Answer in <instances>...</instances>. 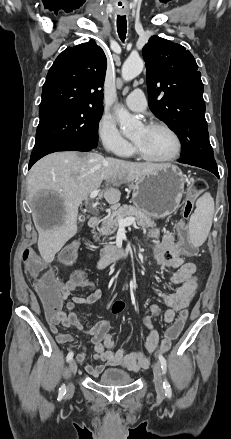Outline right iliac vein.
Wrapping results in <instances>:
<instances>
[{"mask_svg": "<svg viewBox=\"0 0 231 439\" xmlns=\"http://www.w3.org/2000/svg\"><path fill=\"white\" fill-rule=\"evenodd\" d=\"M77 371V363L75 360H71L69 363V373L71 376H74L76 374ZM74 392V384L73 382H69L68 386H67V394L70 395Z\"/></svg>", "mask_w": 231, "mask_h": 439, "instance_id": "right-iliac-vein-1", "label": "right iliac vein"}]
</instances>
